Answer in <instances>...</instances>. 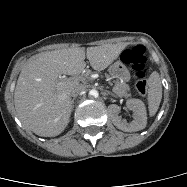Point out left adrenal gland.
<instances>
[{"instance_id":"1","label":"left adrenal gland","mask_w":187,"mask_h":187,"mask_svg":"<svg viewBox=\"0 0 187 187\" xmlns=\"http://www.w3.org/2000/svg\"><path fill=\"white\" fill-rule=\"evenodd\" d=\"M106 94H110L111 96L115 97V95L113 93L109 92V91H106Z\"/></svg>"}]
</instances>
